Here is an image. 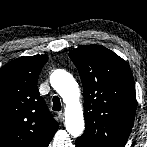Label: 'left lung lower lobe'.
I'll use <instances>...</instances> for the list:
<instances>
[{
	"label": "left lung lower lobe",
	"instance_id": "1",
	"mask_svg": "<svg viewBox=\"0 0 147 147\" xmlns=\"http://www.w3.org/2000/svg\"><path fill=\"white\" fill-rule=\"evenodd\" d=\"M76 147H84V146L76 143Z\"/></svg>",
	"mask_w": 147,
	"mask_h": 147
}]
</instances>
